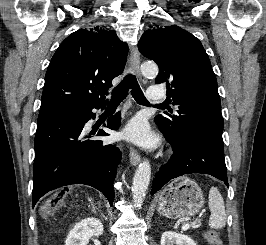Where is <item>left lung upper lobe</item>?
<instances>
[{
    "label": "left lung upper lobe",
    "mask_w": 266,
    "mask_h": 245,
    "mask_svg": "<svg viewBox=\"0 0 266 245\" xmlns=\"http://www.w3.org/2000/svg\"><path fill=\"white\" fill-rule=\"evenodd\" d=\"M139 51L159 66L156 84L166 82L169 98L178 105L173 115H157L154 121L177 139L188 127L223 131L216 76L201 42L173 25L150 29L138 42Z\"/></svg>",
    "instance_id": "1"
}]
</instances>
